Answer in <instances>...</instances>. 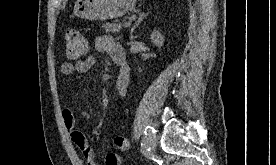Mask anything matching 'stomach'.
Segmentation results:
<instances>
[{"mask_svg": "<svg viewBox=\"0 0 276 165\" xmlns=\"http://www.w3.org/2000/svg\"><path fill=\"white\" fill-rule=\"evenodd\" d=\"M136 0H77L74 15L88 20H107L125 15Z\"/></svg>", "mask_w": 276, "mask_h": 165, "instance_id": "obj_1", "label": "stomach"}]
</instances>
